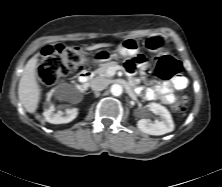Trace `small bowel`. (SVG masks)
I'll list each match as a JSON object with an SVG mask.
<instances>
[{"instance_id":"1","label":"small bowel","mask_w":222,"mask_h":187,"mask_svg":"<svg viewBox=\"0 0 222 187\" xmlns=\"http://www.w3.org/2000/svg\"><path fill=\"white\" fill-rule=\"evenodd\" d=\"M128 67L133 68L129 63ZM187 79L184 76L177 75L170 83H159L155 88H148L144 91L143 97L146 100H159L163 104L172 105L176 101L173 90H184L187 87Z\"/></svg>"}]
</instances>
